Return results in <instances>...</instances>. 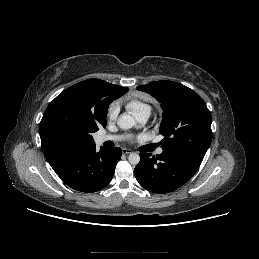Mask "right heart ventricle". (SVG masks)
<instances>
[{
	"mask_svg": "<svg viewBox=\"0 0 259 259\" xmlns=\"http://www.w3.org/2000/svg\"><path fill=\"white\" fill-rule=\"evenodd\" d=\"M128 109L134 114L136 115L137 113L144 111V110H148L150 111V106L146 103H143L141 101L138 100H133L130 101L128 103Z\"/></svg>",
	"mask_w": 259,
	"mask_h": 259,
	"instance_id": "e07e8e85",
	"label": "right heart ventricle"
}]
</instances>
